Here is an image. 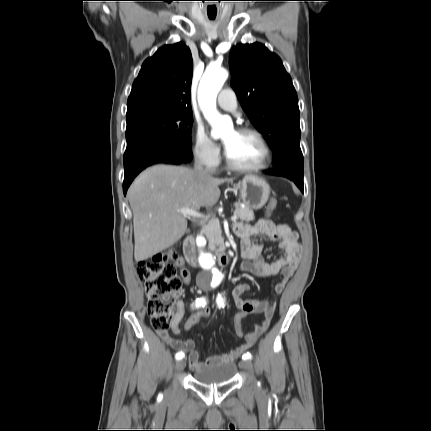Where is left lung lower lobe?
Returning a JSON list of instances; mask_svg holds the SVG:
<instances>
[{
    "mask_svg": "<svg viewBox=\"0 0 431 431\" xmlns=\"http://www.w3.org/2000/svg\"><path fill=\"white\" fill-rule=\"evenodd\" d=\"M266 174L283 176L292 181L299 187L303 192V161H297L294 159H286L278 163L272 170L265 171Z\"/></svg>",
    "mask_w": 431,
    "mask_h": 431,
    "instance_id": "1",
    "label": "left lung lower lobe"
}]
</instances>
